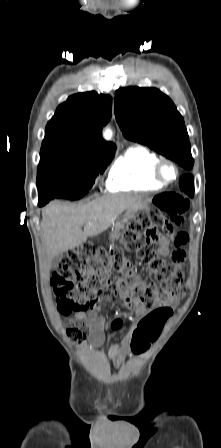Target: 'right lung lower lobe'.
<instances>
[{"instance_id": "1", "label": "right lung lower lobe", "mask_w": 221, "mask_h": 448, "mask_svg": "<svg viewBox=\"0 0 221 448\" xmlns=\"http://www.w3.org/2000/svg\"><path fill=\"white\" fill-rule=\"evenodd\" d=\"M49 200H51V199H48V198L39 199L38 206H44L47 202H49Z\"/></svg>"}]
</instances>
